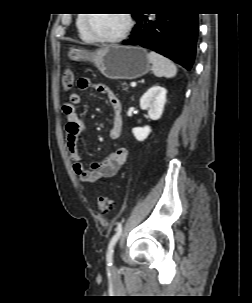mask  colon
<instances>
[{
  "label": "colon",
  "instance_id": "obj_1",
  "mask_svg": "<svg viewBox=\"0 0 252 303\" xmlns=\"http://www.w3.org/2000/svg\"><path fill=\"white\" fill-rule=\"evenodd\" d=\"M75 85V76L71 69L65 70L62 76V87L65 91H70ZM97 207L103 214H108L113 209L112 200L106 196H98Z\"/></svg>",
  "mask_w": 252,
  "mask_h": 303
}]
</instances>
